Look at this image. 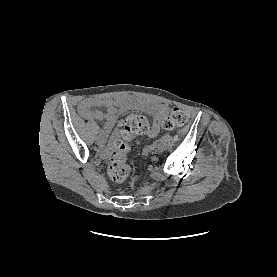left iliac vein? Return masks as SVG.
I'll list each match as a JSON object with an SVG mask.
<instances>
[{
  "label": "left iliac vein",
  "instance_id": "obj_1",
  "mask_svg": "<svg viewBox=\"0 0 277 277\" xmlns=\"http://www.w3.org/2000/svg\"><path fill=\"white\" fill-rule=\"evenodd\" d=\"M166 147H167L166 143H159V144H158V147H157V150H158L159 152H163V151L166 150Z\"/></svg>",
  "mask_w": 277,
  "mask_h": 277
}]
</instances>
